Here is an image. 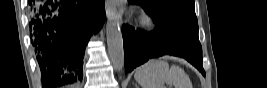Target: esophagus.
<instances>
[{
  "mask_svg": "<svg viewBox=\"0 0 267 88\" xmlns=\"http://www.w3.org/2000/svg\"><path fill=\"white\" fill-rule=\"evenodd\" d=\"M106 12H108V8L106 7ZM108 16V13H107ZM108 18H112L110 15L108 16Z\"/></svg>",
  "mask_w": 267,
  "mask_h": 88,
  "instance_id": "1",
  "label": "esophagus"
}]
</instances>
